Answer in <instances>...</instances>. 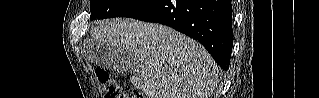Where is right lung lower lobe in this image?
<instances>
[{"mask_svg": "<svg viewBox=\"0 0 319 98\" xmlns=\"http://www.w3.org/2000/svg\"><path fill=\"white\" fill-rule=\"evenodd\" d=\"M161 23L199 41L223 70H228L233 47L230 0H146L122 14Z\"/></svg>", "mask_w": 319, "mask_h": 98, "instance_id": "98d812e1", "label": "right lung lower lobe"}]
</instances>
